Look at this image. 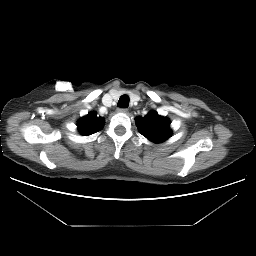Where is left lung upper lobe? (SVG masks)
Here are the masks:
<instances>
[{
  "instance_id": "obj_1",
  "label": "left lung upper lobe",
  "mask_w": 256,
  "mask_h": 256,
  "mask_svg": "<svg viewBox=\"0 0 256 256\" xmlns=\"http://www.w3.org/2000/svg\"><path fill=\"white\" fill-rule=\"evenodd\" d=\"M136 125L139 132L153 142H162L170 137V122L166 117L151 111L145 117H137Z\"/></svg>"
}]
</instances>
